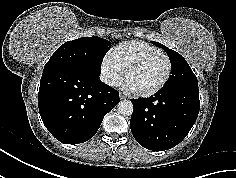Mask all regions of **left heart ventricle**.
<instances>
[{
	"label": "left heart ventricle",
	"instance_id": "obj_1",
	"mask_svg": "<svg viewBox=\"0 0 236 178\" xmlns=\"http://www.w3.org/2000/svg\"><path fill=\"white\" fill-rule=\"evenodd\" d=\"M167 69L168 63L164 57H154L132 70L125 78L124 84L137 92L150 90L164 79Z\"/></svg>",
	"mask_w": 236,
	"mask_h": 178
}]
</instances>
